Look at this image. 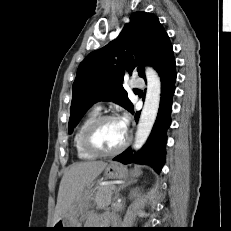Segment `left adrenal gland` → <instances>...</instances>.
I'll use <instances>...</instances> for the list:
<instances>
[{
    "label": "left adrenal gland",
    "mask_w": 231,
    "mask_h": 231,
    "mask_svg": "<svg viewBox=\"0 0 231 231\" xmlns=\"http://www.w3.org/2000/svg\"><path fill=\"white\" fill-rule=\"evenodd\" d=\"M136 182H137V180H135V179H130V180L126 181L125 183L119 185L118 188H117V190H116V192H115L116 197L119 196V191H120V190H123L124 188H126V187H128V186H130L131 184H134V183H136Z\"/></svg>",
    "instance_id": "a2214340"
}]
</instances>
